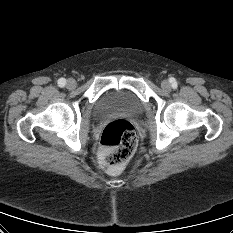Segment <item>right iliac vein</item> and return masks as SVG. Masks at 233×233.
Masks as SVG:
<instances>
[{
    "instance_id": "63e3f726",
    "label": "right iliac vein",
    "mask_w": 233,
    "mask_h": 233,
    "mask_svg": "<svg viewBox=\"0 0 233 233\" xmlns=\"http://www.w3.org/2000/svg\"><path fill=\"white\" fill-rule=\"evenodd\" d=\"M77 83L74 79L70 78L67 80L66 87L70 90L74 89L76 87Z\"/></svg>"
}]
</instances>
